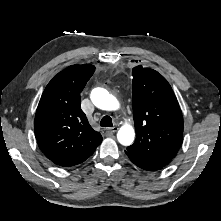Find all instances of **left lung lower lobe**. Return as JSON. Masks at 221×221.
I'll list each match as a JSON object with an SVG mask.
<instances>
[{"label":"left lung lower lobe","instance_id":"left-lung-lower-lobe-1","mask_svg":"<svg viewBox=\"0 0 221 221\" xmlns=\"http://www.w3.org/2000/svg\"><path fill=\"white\" fill-rule=\"evenodd\" d=\"M126 154L135 165H137L138 167H140L144 170L157 171V170H160L164 167L156 162H153V161L146 159V158H142V157L133 155L127 151H126Z\"/></svg>","mask_w":221,"mask_h":221}]
</instances>
